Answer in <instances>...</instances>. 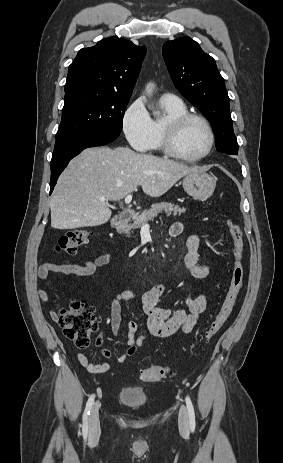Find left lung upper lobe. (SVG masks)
Returning <instances> with one entry per match:
<instances>
[{
    "mask_svg": "<svg viewBox=\"0 0 283 463\" xmlns=\"http://www.w3.org/2000/svg\"><path fill=\"white\" fill-rule=\"evenodd\" d=\"M163 57L176 88L210 121L217 151L237 155L229 97L215 60L189 37L167 41Z\"/></svg>",
    "mask_w": 283,
    "mask_h": 463,
    "instance_id": "5c2ea615",
    "label": "left lung upper lobe"
}]
</instances>
